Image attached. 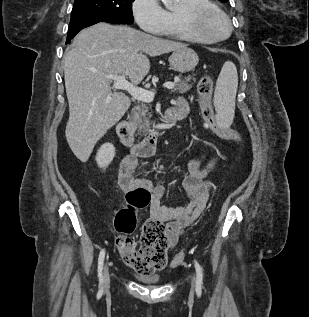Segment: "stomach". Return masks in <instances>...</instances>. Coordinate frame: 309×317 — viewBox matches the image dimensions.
I'll list each match as a JSON object with an SVG mask.
<instances>
[{"label":"stomach","mask_w":309,"mask_h":317,"mask_svg":"<svg viewBox=\"0 0 309 317\" xmlns=\"http://www.w3.org/2000/svg\"><path fill=\"white\" fill-rule=\"evenodd\" d=\"M199 62L197 53L188 47L175 50L169 57L170 67L179 73L192 71Z\"/></svg>","instance_id":"1"}]
</instances>
